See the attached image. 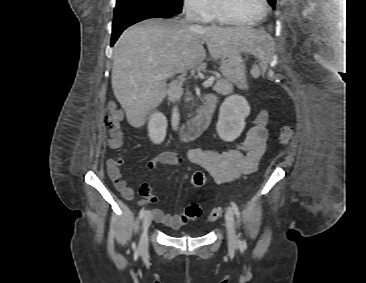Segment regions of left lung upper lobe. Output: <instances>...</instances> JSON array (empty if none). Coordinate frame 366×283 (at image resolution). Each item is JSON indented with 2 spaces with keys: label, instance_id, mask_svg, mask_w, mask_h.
Returning a JSON list of instances; mask_svg holds the SVG:
<instances>
[{
  "label": "left lung upper lobe",
  "instance_id": "obj_1",
  "mask_svg": "<svg viewBox=\"0 0 366 283\" xmlns=\"http://www.w3.org/2000/svg\"><path fill=\"white\" fill-rule=\"evenodd\" d=\"M267 1L272 6V8L275 9L276 0H267Z\"/></svg>",
  "mask_w": 366,
  "mask_h": 283
}]
</instances>
